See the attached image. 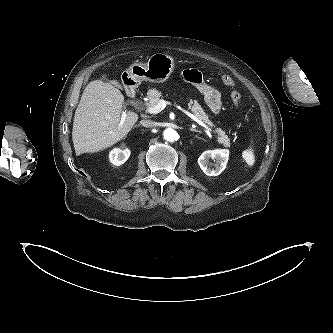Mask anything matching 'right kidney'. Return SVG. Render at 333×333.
I'll list each match as a JSON object with an SVG mask.
<instances>
[{"label":"right kidney","mask_w":333,"mask_h":333,"mask_svg":"<svg viewBox=\"0 0 333 333\" xmlns=\"http://www.w3.org/2000/svg\"><path fill=\"white\" fill-rule=\"evenodd\" d=\"M130 156L129 149L114 148L109 152V160L112 164L119 166L124 164Z\"/></svg>","instance_id":"ca27d5eb"}]
</instances>
